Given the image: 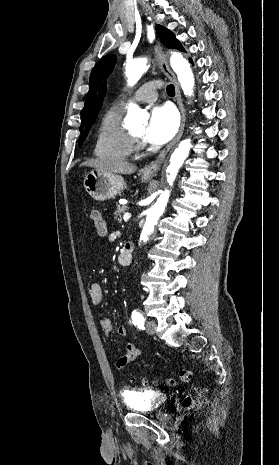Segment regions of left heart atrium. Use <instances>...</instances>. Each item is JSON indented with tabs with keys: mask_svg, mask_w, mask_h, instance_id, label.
<instances>
[{
	"mask_svg": "<svg viewBox=\"0 0 279 465\" xmlns=\"http://www.w3.org/2000/svg\"><path fill=\"white\" fill-rule=\"evenodd\" d=\"M178 125L177 113L171 106L155 107L151 111L144 138L151 144L162 145L175 135Z\"/></svg>",
	"mask_w": 279,
	"mask_h": 465,
	"instance_id": "1",
	"label": "left heart atrium"
}]
</instances>
